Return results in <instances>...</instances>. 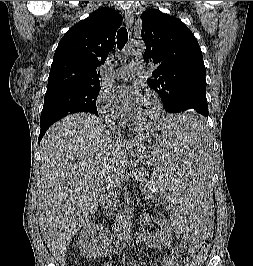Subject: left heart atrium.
Returning a JSON list of instances; mask_svg holds the SVG:
<instances>
[{"label": "left heart atrium", "instance_id": "1", "mask_svg": "<svg viewBox=\"0 0 253 266\" xmlns=\"http://www.w3.org/2000/svg\"><path fill=\"white\" fill-rule=\"evenodd\" d=\"M125 90L127 92V96L124 102V109L128 114L133 116L142 102L144 95L141 91L134 88H126Z\"/></svg>", "mask_w": 253, "mask_h": 266}]
</instances>
